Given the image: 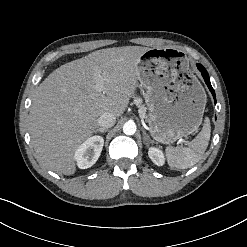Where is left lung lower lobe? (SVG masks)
Segmentation results:
<instances>
[{
	"label": "left lung lower lobe",
	"instance_id": "obj_1",
	"mask_svg": "<svg viewBox=\"0 0 247 247\" xmlns=\"http://www.w3.org/2000/svg\"><path fill=\"white\" fill-rule=\"evenodd\" d=\"M197 67H198L199 71L202 73V76H203V78H204L209 90L211 91V93L213 95V98L215 100V103H216L215 91L211 86L210 79H209L207 71L205 70V68L201 64H197Z\"/></svg>",
	"mask_w": 247,
	"mask_h": 247
}]
</instances>
